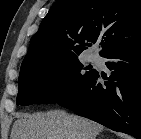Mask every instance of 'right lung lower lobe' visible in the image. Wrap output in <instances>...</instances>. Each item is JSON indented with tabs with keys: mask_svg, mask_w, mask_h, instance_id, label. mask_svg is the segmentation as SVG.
I'll return each mask as SVG.
<instances>
[{
	"mask_svg": "<svg viewBox=\"0 0 141 139\" xmlns=\"http://www.w3.org/2000/svg\"><path fill=\"white\" fill-rule=\"evenodd\" d=\"M102 57L109 59L106 65L112 71L108 82L99 83V73L95 71L58 104L114 131L141 139V39Z\"/></svg>",
	"mask_w": 141,
	"mask_h": 139,
	"instance_id": "1",
	"label": "right lung lower lobe"
}]
</instances>
